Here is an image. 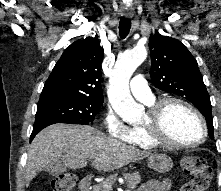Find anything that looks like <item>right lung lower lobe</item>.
<instances>
[{
	"label": "right lung lower lobe",
	"mask_w": 221,
	"mask_h": 191,
	"mask_svg": "<svg viewBox=\"0 0 221 191\" xmlns=\"http://www.w3.org/2000/svg\"><path fill=\"white\" fill-rule=\"evenodd\" d=\"M56 121H54L52 118L50 117H46V116H36L35 118V123L33 126V131L31 133L30 136V141L35 137V135L37 133H39L43 128L51 125V124H55Z\"/></svg>",
	"instance_id": "98d812e1"
}]
</instances>
